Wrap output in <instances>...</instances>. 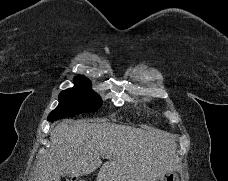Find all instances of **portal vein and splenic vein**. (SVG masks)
Segmentation results:
<instances>
[{"mask_svg":"<svg viewBox=\"0 0 228 181\" xmlns=\"http://www.w3.org/2000/svg\"><path fill=\"white\" fill-rule=\"evenodd\" d=\"M102 157H104V159H106V155H102Z\"/></svg>","mask_w":228,"mask_h":181,"instance_id":"obj_1","label":"portal vein and splenic vein"}]
</instances>
